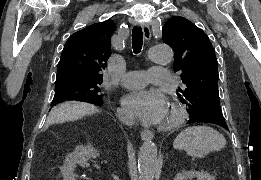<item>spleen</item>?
Returning a JSON list of instances; mask_svg holds the SVG:
<instances>
[{
  "instance_id": "spleen-1",
  "label": "spleen",
  "mask_w": 261,
  "mask_h": 180,
  "mask_svg": "<svg viewBox=\"0 0 261 180\" xmlns=\"http://www.w3.org/2000/svg\"><path fill=\"white\" fill-rule=\"evenodd\" d=\"M180 148L191 158H206L210 152H221L226 148L223 134L209 126L185 128L177 138Z\"/></svg>"
}]
</instances>
